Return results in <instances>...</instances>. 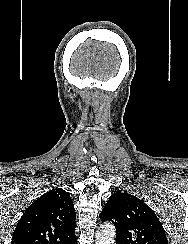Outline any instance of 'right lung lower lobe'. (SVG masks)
Listing matches in <instances>:
<instances>
[{"label": "right lung lower lobe", "instance_id": "obj_1", "mask_svg": "<svg viewBox=\"0 0 188 244\" xmlns=\"http://www.w3.org/2000/svg\"><path fill=\"white\" fill-rule=\"evenodd\" d=\"M77 241V240H76ZM76 241L75 242H73L72 244H76Z\"/></svg>", "mask_w": 188, "mask_h": 244}]
</instances>
